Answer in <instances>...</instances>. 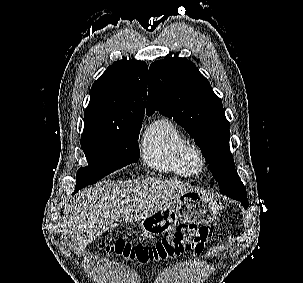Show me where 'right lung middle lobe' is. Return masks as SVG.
<instances>
[{
  "mask_svg": "<svg viewBox=\"0 0 303 283\" xmlns=\"http://www.w3.org/2000/svg\"><path fill=\"white\" fill-rule=\"evenodd\" d=\"M142 121L106 128H84L81 147L88 166L77 173L75 192L92 185L106 175L137 162L140 154L137 143Z\"/></svg>",
  "mask_w": 303,
  "mask_h": 283,
  "instance_id": "obj_1",
  "label": "right lung middle lobe"
}]
</instances>
